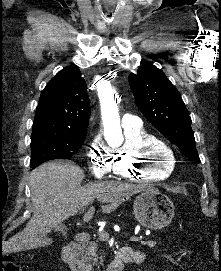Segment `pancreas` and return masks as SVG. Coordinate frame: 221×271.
<instances>
[{
	"label": "pancreas",
	"instance_id": "cf45deb5",
	"mask_svg": "<svg viewBox=\"0 0 221 271\" xmlns=\"http://www.w3.org/2000/svg\"><path fill=\"white\" fill-rule=\"evenodd\" d=\"M138 244H142V247H161V239H138ZM81 261L84 265H88L92 269L95 263H102L103 257L97 255V243L96 241H90L89 245H83V249L80 253Z\"/></svg>",
	"mask_w": 221,
	"mask_h": 271
}]
</instances>
